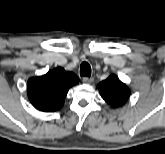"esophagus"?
<instances>
[{
    "mask_svg": "<svg viewBox=\"0 0 165 154\" xmlns=\"http://www.w3.org/2000/svg\"><path fill=\"white\" fill-rule=\"evenodd\" d=\"M82 81H83L84 83H86V84H90V83H92L93 78H91V77H83V78H82Z\"/></svg>",
    "mask_w": 165,
    "mask_h": 154,
    "instance_id": "34e87169",
    "label": "esophagus"
}]
</instances>
